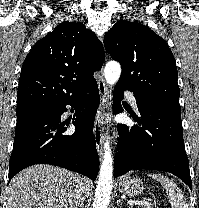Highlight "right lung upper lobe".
Here are the masks:
<instances>
[{"mask_svg":"<svg viewBox=\"0 0 199 208\" xmlns=\"http://www.w3.org/2000/svg\"><path fill=\"white\" fill-rule=\"evenodd\" d=\"M105 59L95 33L82 23L62 22L40 39L24 60L17 109L45 106L75 96L96 82Z\"/></svg>","mask_w":199,"mask_h":208,"instance_id":"right-lung-upper-lobe-1","label":"right lung upper lobe"}]
</instances>
